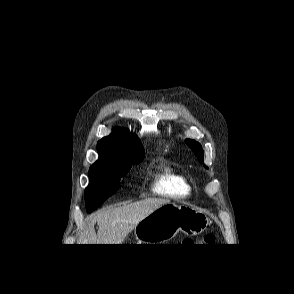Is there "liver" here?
<instances>
[{"label": "liver", "instance_id": "6515ba94", "mask_svg": "<svg viewBox=\"0 0 294 294\" xmlns=\"http://www.w3.org/2000/svg\"><path fill=\"white\" fill-rule=\"evenodd\" d=\"M166 199L148 198L118 207H107L88 219L77 244H122L135 226L162 205ZM97 222L96 233L94 225Z\"/></svg>", "mask_w": 294, "mask_h": 294}]
</instances>
